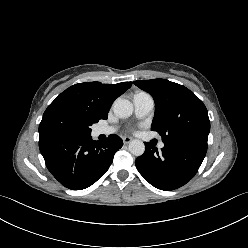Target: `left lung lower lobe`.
<instances>
[{
	"label": "left lung lower lobe",
	"instance_id": "1",
	"mask_svg": "<svg viewBox=\"0 0 248 248\" xmlns=\"http://www.w3.org/2000/svg\"><path fill=\"white\" fill-rule=\"evenodd\" d=\"M161 152L150 143L135 165L139 173L154 187L170 191L185 185L197 173L207 152L199 143H164Z\"/></svg>",
	"mask_w": 248,
	"mask_h": 248
}]
</instances>
